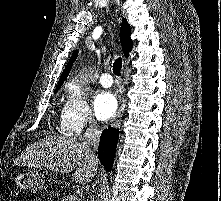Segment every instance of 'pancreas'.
Returning a JSON list of instances; mask_svg holds the SVG:
<instances>
[{
    "label": "pancreas",
    "mask_w": 221,
    "mask_h": 201,
    "mask_svg": "<svg viewBox=\"0 0 221 201\" xmlns=\"http://www.w3.org/2000/svg\"><path fill=\"white\" fill-rule=\"evenodd\" d=\"M70 196H72V195L64 196L63 199H62V201H69V197H70ZM75 201H80V200L76 198Z\"/></svg>",
    "instance_id": "pancreas-1"
}]
</instances>
